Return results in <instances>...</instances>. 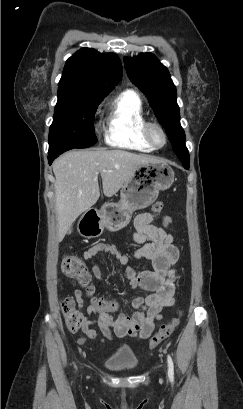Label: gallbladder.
<instances>
[{"label":"gallbladder","mask_w":243,"mask_h":409,"mask_svg":"<svg viewBox=\"0 0 243 409\" xmlns=\"http://www.w3.org/2000/svg\"><path fill=\"white\" fill-rule=\"evenodd\" d=\"M71 232H72V229L70 228L69 231H68V234H71Z\"/></svg>","instance_id":"1"}]
</instances>
